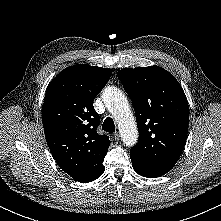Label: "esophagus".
<instances>
[{
  "label": "esophagus",
  "mask_w": 221,
  "mask_h": 221,
  "mask_svg": "<svg viewBox=\"0 0 221 221\" xmlns=\"http://www.w3.org/2000/svg\"><path fill=\"white\" fill-rule=\"evenodd\" d=\"M113 138H114L115 140H119L120 134H119L118 131H115V132L113 133Z\"/></svg>",
  "instance_id": "obj_1"
}]
</instances>
